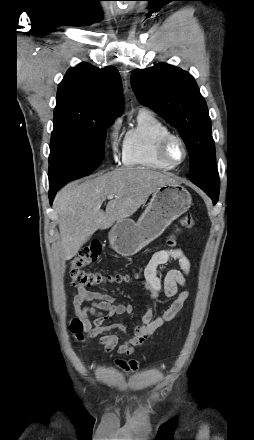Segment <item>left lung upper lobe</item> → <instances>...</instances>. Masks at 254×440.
Instances as JSON below:
<instances>
[{
	"mask_svg": "<svg viewBox=\"0 0 254 440\" xmlns=\"http://www.w3.org/2000/svg\"><path fill=\"white\" fill-rule=\"evenodd\" d=\"M131 84L142 104L154 109L178 129L189 152L190 181L216 204L219 176L211 120L194 78L180 68L161 63L147 69H135Z\"/></svg>",
	"mask_w": 254,
	"mask_h": 440,
	"instance_id": "1",
	"label": "left lung upper lobe"
}]
</instances>
